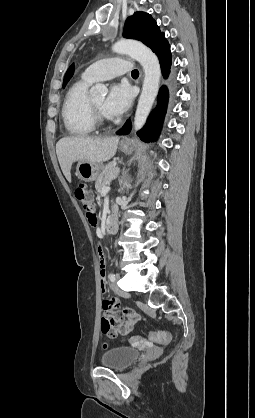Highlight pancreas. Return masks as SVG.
I'll return each instance as SVG.
<instances>
[{
	"label": "pancreas",
	"instance_id": "cf45deb5",
	"mask_svg": "<svg viewBox=\"0 0 255 418\" xmlns=\"http://www.w3.org/2000/svg\"><path fill=\"white\" fill-rule=\"evenodd\" d=\"M119 168L116 167V162L108 163L98 176L95 182V188L98 194H102L103 188L107 187L110 182L118 175Z\"/></svg>",
	"mask_w": 255,
	"mask_h": 418
}]
</instances>
